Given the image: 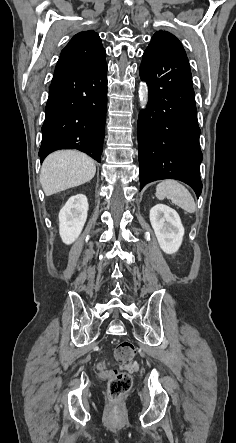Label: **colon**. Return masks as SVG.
<instances>
[{"instance_id": "5ec220e1", "label": "colon", "mask_w": 236, "mask_h": 443, "mask_svg": "<svg viewBox=\"0 0 236 443\" xmlns=\"http://www.w3.org/2000/svg\"><path fill=\"white\" fill-rule=\"evenodd\" d=\"M135 347L130 341H121L115 348V358L121 363L127 365L130 369H136L137 363L134 361ZM101 374L108 382V392L110 398L118 400L127 393L132 386V377L129 373L117 369H105V365H100Z\"/></svg>"}]
</instances>
